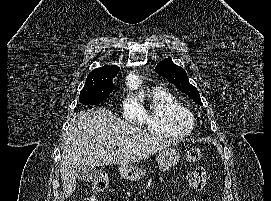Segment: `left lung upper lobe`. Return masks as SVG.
<instances>
[{
  "label": "left lung upper lobe",
  "mask_w": 271,
  "mask_h": 201,
  "mask_svg": "<svg viewBox=\"0 0 271 201\" xmlns=\"http://www.w3.org/2000/svg\"><path fill=\"white\" fill-rule=\"evenodd\" d=\"M155 71L164 78L168 79L197 104L202 105L199 92L197 91L196 87L189 83L187 73L183 68L174 64L171 58L159 62L155 68Z\"/></svg>",
  "instance_id": "1"
}]
</instances>
